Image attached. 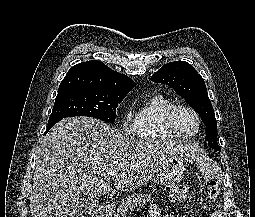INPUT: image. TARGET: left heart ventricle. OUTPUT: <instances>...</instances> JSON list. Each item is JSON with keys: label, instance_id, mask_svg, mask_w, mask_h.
Returning a JSON list of instances; mask_svg holds the SVG:
<instances>
[{"label": "left heart ventricle", "instance_id": "b2bd125f", "mask_svg": "<svg viewBox=\"0 0 255 217\" xmlns=\"http://www.w3.org/2000/svg\"><path fill=\"white\" fill-rule=\"evenodd\" d=\"M177 124L184 133H193L197 127V121L195 117L187 112L180 111L177 115Z\"/></svg>", "mask_w": 255, "mask_h": 217}]
</instances>
